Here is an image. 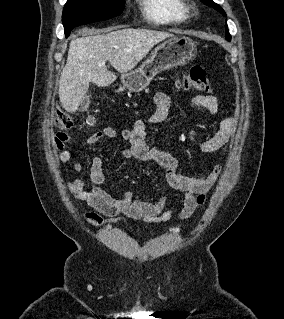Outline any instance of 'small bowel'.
<instances>
[{"mask_svg":"<svg viewBox=\"0 0 284 319\" xmlns=\"http://www.w3.org/2000/svg\"><path fill=\"white\" fill-rule=\"evenodd\" d=\"M155 109L149 117V121L158 123L163 121L170 107V97L163 92L155 95ZM192 111H207L211 114L219 112L220 104L215 97L197 96L190 104ZM144 119H138L131 129L121 132V137L128 143V147L122 151L124 158H133L140 161H153L160 165L165 171V178L171 193H181L182 207L178 214L180 220L188 219L198 207L206 201V196L221 173V166L205 165L198 175L185 174L178 169L177 160L171 155L157 149L151 148L145 141ZM236 122L231 117L221 119L217 130L206 140L200 149L205 155L226 150L235 132ZM118 133L111 127H104L88 139V144L94 145L101 139L116 138ZM69 141L67 132H58L53 141V147L59 162L67 163L71 158V150L66 148ZM103 159L95 157L91 162L88 177L75 179L67 183L68 190L77 201L85 202L92 211L85 212L83 218L87 223L102 228L119 222L122 217L134 220H143L147 223H163L169 221L178 210L175 205L167 208L168 195L162 196L156 202L133 199L132 194L124 192L121 198H115L103 187ZM75 170H82L81 164L74 166Z\"/></svg>","mask_w":284,"mask_h":319,"instance_id":"obj_1","label":"small bowel"}]
</instances>
